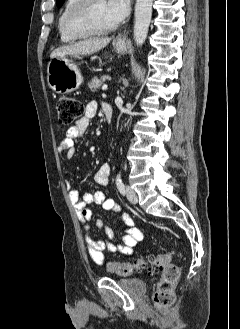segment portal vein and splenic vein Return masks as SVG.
Returning <instances> with one entry per match:
<instances>
[{"instance_id":"portal-vein-and-splenic-vein-1","label":"portal vein and splenic vein","mask_w":240,"mask_h":329,"mask_svg":"<svg viewBox=\"0 0 240 329\" xmlns=\"http://www.w3.org/2000/svg\"><path fill=\"white\" fill-rule=\"evenodd\" d=\"M107 88H108V85H106V84L102 86V90H106Z\"/></svg>"}]
</instances>
